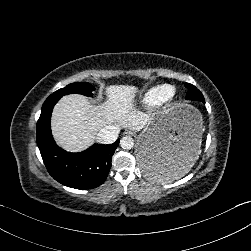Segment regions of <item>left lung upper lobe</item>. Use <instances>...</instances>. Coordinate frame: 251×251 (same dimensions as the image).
Masks as SVG:
<instances>
[{"instance_id":"obj_1","label":"left lung upper lobe","mask_w":251,"mask_h":251,"mask_svg":"<svg viewBox=\"0 0 251 251\" xmlns=\"http://www.w3.org/2000/svg\"><path fill=\"white\" fill-rule=\"evenodd\" d=\"M185 87L188 89V92L186 94V99L201 101L205 103V99L202 93L194 85L186 83Z\"/></svg>"}]
</instances>
